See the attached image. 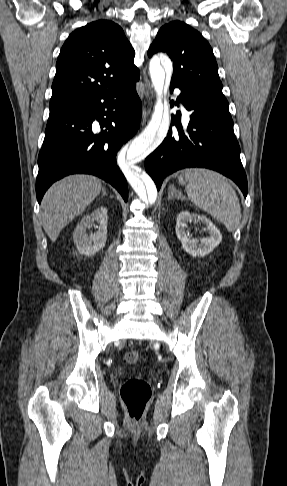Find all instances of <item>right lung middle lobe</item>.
Here are the masks:
<instances>
[{
    "label": "right lung middle lobe",
    "instance_id": "1",
    "mask_svg": "<svg viewBox=\"0 0 287 486\" xmlns=\"http://www.w3.org/2000/svg\"><path fill=\"white\" fill-rule=\"evenodd\" d=\"M58 113H60V112H58V111H57V112H56V111H50V116H51V115L58 114Z\"/></svg>",
    "mask_w": 287,
    "mask_h": 486
}]
</instances>
